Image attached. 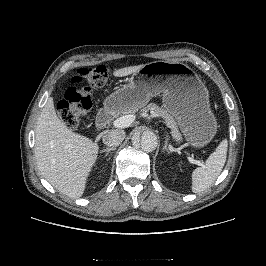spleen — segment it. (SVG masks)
Instances as JSON below:
<instances>
[{"instance_id": "obj_1", "label": "spleen", "mask_w": 266, "mask_h": 266, "mask_svg": "<svg viewBox=\"0 0 266 266\" xmlns=\"http://www.w3.org/2000/svg\"><path fill=\"white\" fill-rule=\"evenodd\" d=\"M227 149L228 141L224 139L208 157L205 165L192 172V192H203L215 182L225 165Z\"/></svg>"}]
</instances>
